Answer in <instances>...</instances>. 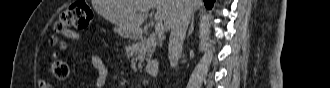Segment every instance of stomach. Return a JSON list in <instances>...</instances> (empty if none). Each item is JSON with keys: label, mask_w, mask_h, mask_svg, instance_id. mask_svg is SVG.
Here are the masks:
<instances>
[{"label": "stomach", "mask_w": 330, "mask_h": 88, "mask_svg": "<svg viewBox=\"0 0 330 88\" xmlns=\"http://www.w3.org/2000/svg\"><path fill=\"white\" fill-rule=\"evenodd\" d=\"M126 37H133L131 34H127Z\"/></svg>", "instance_id": "0dacf381"}]
</instances>
